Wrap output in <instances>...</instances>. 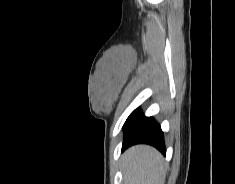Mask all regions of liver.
<instances>
[{"label":"liver","instance_id":"obj_1","mask_svg":"<svg viewBox=\"0 0 235 184\" xmlns=\"http://www.w3.org/2000/svg\"><path fill=\"white\" fill-rule=\"evenodd\" d=\"M125 184H164L165 164L160 152L151 146H132L122 156Z\"/></svg>","mask_w":235,"mask_h":184}]
</instances>
